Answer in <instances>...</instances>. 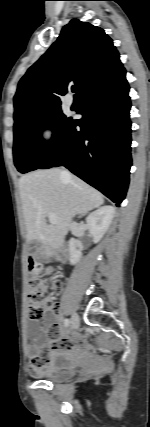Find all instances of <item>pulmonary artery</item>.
<instances>
[{
    "mask_svg": "<svg viewBox=\"0 0 150 427\" xmlns=\"http://www.w3.org/2000/svg\"><path fill=\"white\" fill-rule=\"evenodd\" d=\"M73 102H74V100H73V97L71 95H66L65 96V104L67 106H72Z\"/></svg>",
    "mask_w": 150,
    "mask_h": 427,
    "instance_id": "e3ab8cb5",
    "label": "pulmonary artery"
}]
</instances>
